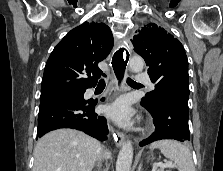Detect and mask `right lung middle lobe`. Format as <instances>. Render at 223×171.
I'll return each instance as SVG.
<instances>
[{"label": "right lung middle lobe", "mask_w": 223, "mask_h": 171, "mask_svg": "<svg viewBox=\"0 0 223 171\" xmlns=\"http://www.w3.org/2000/svg\"><path fill=\"white\" fill-rule=\"evenodd\" d=\"M83 94H84V91L68 92V93L57 94L48 98L40 99V101L50 99V98H55V97H83Z\"/></svg>", "instance_id": "dd1d6c3e"}]
</instances>
